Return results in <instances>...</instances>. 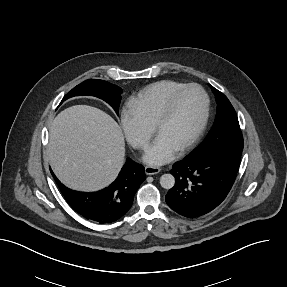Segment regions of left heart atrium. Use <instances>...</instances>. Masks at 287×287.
<instances>
[{
    "instance_id": "39dd6f15",
    "label": "left heart atrium",
    "mask_w": 287,
    "mask_h": 287,
    "mask_svg": "<svg viewBox=\"0 0 287 287\" xmlns=\"http://www.w3.org/2000/svg\"><path fill=\"white\" fill-rule=\"evenodd\" d=\"M176 151L177 150L163 138L157 137L147 148L143 159L149 164L159 165L171 160Z\"/></svg>"
}]
</instances>
